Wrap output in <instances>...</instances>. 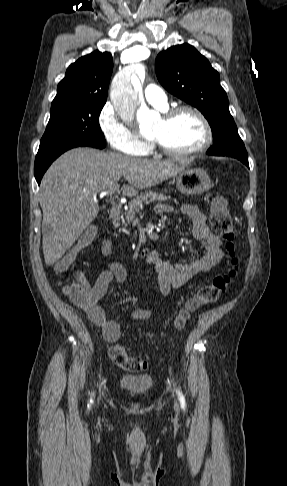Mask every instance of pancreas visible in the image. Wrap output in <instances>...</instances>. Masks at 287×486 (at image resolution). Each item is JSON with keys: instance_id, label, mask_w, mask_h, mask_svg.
Returning a JSON list of instances; mask_svg holds the SVG:
<instances>
[{"instance_id": "pancreas-1", "label": "pancreas", "mask_w": 287, "mask_h": 486, "mask_svg": "<svg viewBox=\"0 0 287 486\" xmlns=\"http://www.w3.org/2000/svg\"><path fill=\"white\" fill-rule=\"evenodd\" d=\"M169 199L170 197L153 191L141 193L129 203V209L125 212L126 224H130L135 219L136 213L139 212V209L142 207L143 203L147 204L148 202L155 201L162 202ZM115 226L118 227V224ZM125 232H127V230H125Z\"/></svg>"}]
</instances>
